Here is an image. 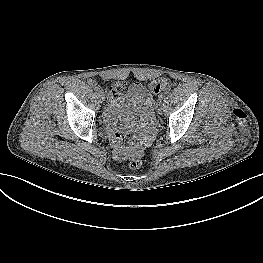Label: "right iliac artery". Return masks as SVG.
I'll list each match as a JSON object with an SVG mask.
<instances>
[{
	"label": "right iliac artery",
	"instance_id": "obj_1",
	"mask_svg": "<svg viewBox=\"0 0 263 263\" xmlns=\"http://www.w3.org/2000/svg\"><path fill=\"white\" fill-rule=\"evenodd\" d=\"M94 90H95L97 93H102V92H103V89L100 88V87H94Z\"/></svg>",
	"mask_w": 263,
	"mask_h": 263
}]
</instances>
